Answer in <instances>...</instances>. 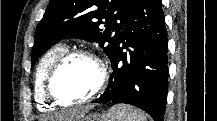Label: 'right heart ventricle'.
Instances as JSON below:
<instances>
[{"instance_id": "obj_1", "label": "right heart ventricle", "mask_w": 217, "mask_h": 121, "mask_svg": "<svg viewBox=\"0 0 217 121\" xmlns=\"http://www.w3.org/2000/svg\"><path fill=\"white\" fill-rule=\"evenodd\" d=\"M67 51V46L56 45L43 55L37 66L34 79V98L40 109L53 110L55 108L45 94L46 77L52 65Z\"/></svg>"}]
</instances>
